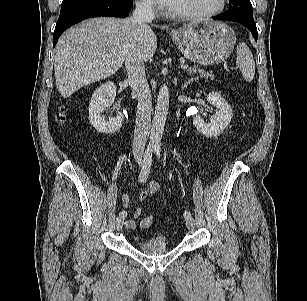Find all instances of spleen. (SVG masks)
<instances>
[{
    "mask_svg": "<svg viewBox=\"0 0 307 301\" xmlns=\"http://www.w3.org/2000/svg\"><path fill=\"white\" fill-rule=\"evenodd\" d=\"M236 64L244 80L247 82L252 81L255 75V61L249 47L243 42L237 46Z\"/></svg>",
    "mask_w": 307,
    "mask_h": 301,
    "instance_id": "1",
    "label": "spleen"
}]
</instances>
